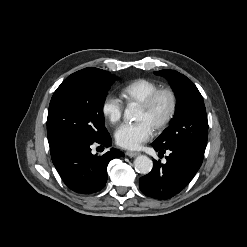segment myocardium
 Segmentation results:
<instances>
[{
  "label": "myocardium",
  "instance_id": "myocardium-1",
  "mask_svg": "<svg viewBox=\"0 0 247 247\" xmlns=\"http://www.w3.org/2000/svg\"><path fill=\"white\" fill-rule=\"evenodd\" d=\"M162 95H166L169 98V108L163 119L153 127L156 131L165 129L173 120L178 106L176 92L168 87L158 88L152 92L142 103L139 104V107L143 110L150 111Z\"/></svg>",
  "mask_w": 247,
  "mask_h": 247
}]
</instances>
